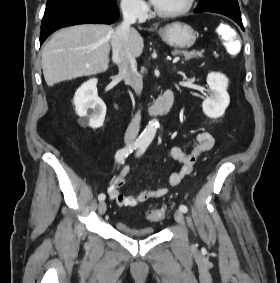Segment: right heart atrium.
Wrapping results in <instances>:
<instances>
[{
  "instance_id": "1",
  "label": "right heart atrium",
  "mask_w": 280,
  "mask_h": 283,
  "mask_svg": "<svg viewBox=\"0 0 280 283\" xmlns=\"http://www.w3.org/2000/svg\"><path fill=\"white\" fill-rule=\"evenodd\" d=\"M121 10L132 17L141 18L147 12V5L143 0H120Z\"/></svg>"
}]
</instances>
